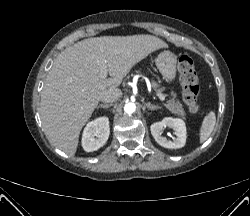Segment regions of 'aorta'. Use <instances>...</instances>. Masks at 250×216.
<instances>
[{
	"label": "aorta",
	"instance_id": "762f6f07",
	"mask_svg": "<svg viewBox=\"0 0 250 216\" xmlns=\"http://www.w3.org/2000/svg\"><path fill=\"white\" fill-rule=\"evenodd\" d=\"M136 110V105L135 103H132V102H127L124 106V111L128 114H131L133 112H135Z\"/></svg>",
	"mask_w": 250,
	"mask_h": 216
}]
</instances>
